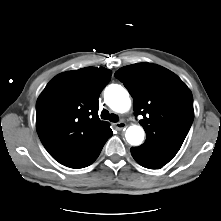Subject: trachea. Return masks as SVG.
Returning <instances> with one entry per match:
<instances>
[{"instance_id": "3493384b", "label": "trachea", "mask_w": 221, "mask_h": 221, "mask_svg": "<svg viewBox=\"0 0 221 221\" xmlns=\"http://www.w3.org/2000/svg\"><path fill=\"white\" fill-rule=\"evenodd\" d=\"M101 118L105 120H109L111 122H118L119 120L116 114H113V113L110 114L108 110H103L101 112Z\"/></svg>"}]
</instances>
